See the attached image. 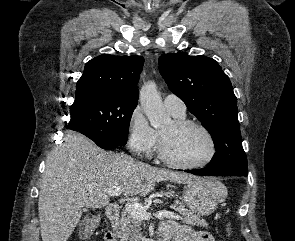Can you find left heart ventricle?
<instances>
[{
    "label": "left heart ventricle",
    "instance_id": "1",
    "mask_svg": "<svg viewBox=\"0 0 295 241\" xmlns=\"http://www.w3.org/2000/svg\"><path fill=\"white\" fill-rule=\"evenodd\" d=\"M160 134L165 139L167 153L179 162L198 163L209 155V141L197 128L177 129L172 122Z\"/></svg>",
    "mask_w": 295,
    "mask_h": 241
}]
</instances>
